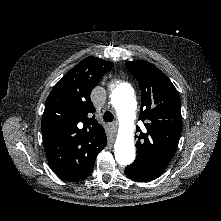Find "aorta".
<instances>
[{
  "mask_svg": "<svg viewBox=\"0 0 221 221\" xmlns=\"http://www.w3.org/2000/svg\"><path fill=\"white\" fill-rule=\"evenodd\" d=\"M111 103L120 119V131L115 143V159L121 165H129L135 159L133 118L136 109L134 90L128 83H118L111 94Z\"/></svg>",
  "mask_w": 221,
  "mask_h": 221,
  "instance_id": "762f6f07",
  "label": "aorta"
}]
</instances>
